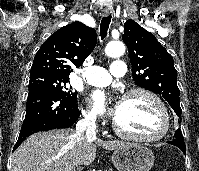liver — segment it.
Listing matches in <instances>:
<instances>
[{"label": "liver", "instance_id": "obj_1", "mask_svg": "<svg viewBox=\"0 0 199 171\" xmlns=\"http://www.w3.org/2000/svg\"><path fill=\"white\" fill-rule=\"evenodd\" d=\"M125 142L82 139L72 129H56L28 137L12 156L11 171H75L90 165L96 148L115 150Z\"/></svg>", "mask_w": 199, "mask_h": 171}]
</instances>
